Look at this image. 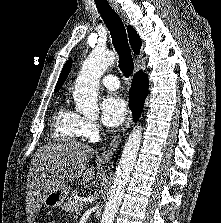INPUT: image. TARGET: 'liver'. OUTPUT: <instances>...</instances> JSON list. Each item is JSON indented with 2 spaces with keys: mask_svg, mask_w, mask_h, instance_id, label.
<instances>
[{
  "mask_svg": "<svg viewBox=\"0 0 221 223\" xmlns=\"http://www.w3.org/2000/svg\"><path fill=\"white\" fill-rule=\"evenodd\" d=\"M94 149L80 142L58 140L39 148L35 153L27 179L26 212L33 223L44 198L55 188L82 177L89 182L94 176V166L86 168Z\"/></svg>",
  "mask_w": 221,
  "mask_h": 223,
  "instance_id": "1",
  "label": "liver"
}]
</instances>
